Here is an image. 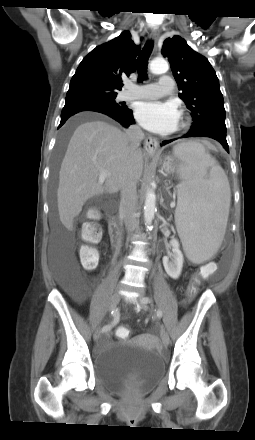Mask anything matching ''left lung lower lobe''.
Wrapping results in <instances>:
<instances>
[{"label": "left lung lower lobe", "mask_w": 255, "mask_h": 440, "mask_svg": "<svg viewBox=\"0 0 255 440\" xmlns=\"http://www.w3.org/2000/svg\"><path fill=\"white\" fill-rule=\"evenodd\" d=\"M188 137H209L215 139L220 142L223 148L229 153V146L226 140V129L215 126H208L196 130L190 129V131L187 134L183 135L181 138ZM176 139L163 141L162 145H166Z\"/></svg>", "instance_id": "0a47b994"}]
</instances>
